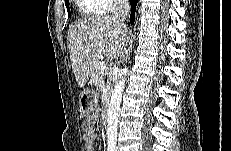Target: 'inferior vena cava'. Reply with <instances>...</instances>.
Returning a JSON list of instances; mask_svg holds the SVG:
<instances>
[{
	"label": "inferior vena cava",
	"mask_w": 231,
	"mask_h": 151,
	"mask_svg": "<svg viewBox=\"0 0 231 151\" xmlns=\"http://www.w3.org/2000/svg\"><path fill=\"white\" fill-rule=\"evenodd\" d=\"M129 12H130V5L128 0H118L117 8L113 13L112 18L125 26L124 21L128 16Z\"/></svg>",
	"instance_id": "602c4592"
}]
</instances>
